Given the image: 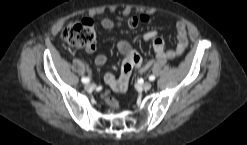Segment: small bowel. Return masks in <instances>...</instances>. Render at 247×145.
<instances>
[{
    "label": "small bowel",
    "instance_id": "obj_1",
    "mask_svg": "<svg viewBox=\"0 0 247 145\" xmlns=\"http://www.w3.org/2000/svg\"><path fill=\"white\" fill-rule=\"evenodd\" d=\"M101 26L106 30H111L114 27V21L110 18H104L101 20ZM175 29L177 34L176 47L174 49H165V42L160 38L155 30H150L146 32L143 36L145 41H152L153 50L156 55V61L162 62L164 60L173 59L180 56L188 46V37L186 25L183 21L175 22ZM119 52L124 56V61L128 60L131 56L136 55L138 60L133 63L130 69V74L134 68L139 69V71L144 72L149 69L152 65V61H144L132 48V46L127 41H120L117 44ZM96 50V45L92 44L85 48L87 53H93ZM107 61L105 54H99L95 58V64L97 66H103ZM131 77V75H130ZM129 78H125L121 72L120 77H116L112 73H107L104 76L105 83L114 92H124L127 90L129 85ZM107 105L113 110H119L120 106L117 101L112 99L106 100Z\"/></svg>",
    "mask_w": 247,
    "mask_h": 145
}]
</instances>
